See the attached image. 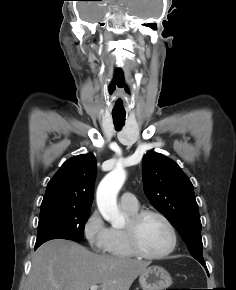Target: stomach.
<instances>
[{"mask_svg":"<svg viewBox=\"0 0 236 290\" xmlns=\"http://www.w3.org/2000/svg\"><path fill=\"white\" fill-rule=\"evenodd\" d=\"M143 290H166L172 284L170 274L160 266H150L139 275Z\"/></svg>","mask_w":236,"mask_h":290,"instance_id":"obj_1","label":"stomach"}]
</instances>
